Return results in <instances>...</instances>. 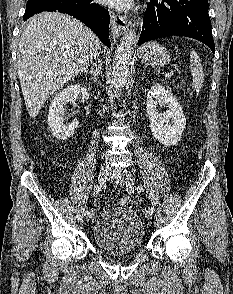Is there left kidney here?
<instances>
[{"label": "left kidney", "mask_w": 233, "mask_h": 294, "mask_svg": "<svg viewBox=\"0 0 233 294\" xmlns=\"http://www.w3.org/2000/svg\"><path fill=\"white\" fill-rule=\"evenodd\" d=\"M158 105L166 108L163 114L157 112ZM146 110L153 137L165 146L175 145L185 129L186 118L173 94L160 84L153 85L147 94Z\"/></svg>", "instance_id": "left-kidney-1"}]
</instances>
